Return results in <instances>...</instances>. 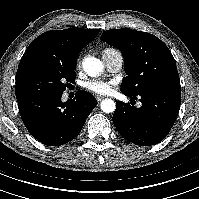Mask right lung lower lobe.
Segmentation results:
<instances>
[{
	"label": "right lung lower lobe",
	"instance_id": "right-lung-lower-lobe-1",
	"mask_svg": "<svg viewBox=\"0 0 199 199\" xmlns=\"http://www.w3.org/2000/svg\"><path fill=\"white\" fill-rule=\"evenodd\" d=\"M61 97L62 93L17 98L24 125L44 145L60 146L77 137L97 105L95 97L83 90L77 92L75 99L66 102H62Z\"/></svg>",
	"mask_w": 199,
	"mask_h": 199
}]
</instances>
